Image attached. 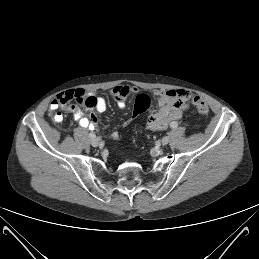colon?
I'll list each match as a JSON object with an SVG mask.
<instances>
[{"mask_svg": "<svg viewBox=\"0 0 259 259\" xmlns=\"http://www.w3.org/2000/svg\"><path fill=\"white\" fill-rule=\"evenodd\" d=\"M192 103L196 107L198 113L201 116H206L208 114L209 112L208 105L202 98H200L199 96H196L192 99ZM150 105H151V99L148 96L146 95L138 96L134 104L133 115L129 120L125 121V124H128L134 117L145 112L150 107ZM56 108L51 107L52 110H55ZM54 119L55 121H60L61 120L60 114H54Z\"/></svg>", "mask_w": 259, "mask_h": 259, "instance_id": "colon-1", "label": "colon"}]
</instances>
